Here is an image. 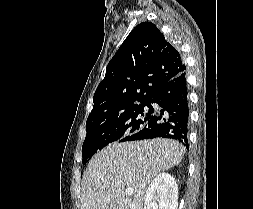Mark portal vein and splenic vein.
Returning a JSON list of instances; mask_svg holds the SVG:
<instances>
[{"label":"portal vein and splenic vein","mask_w":253,"mask_h":209,"mask_svg":"<svg viewBox=\"0 0 253 209\" xmlns=\"http://www.w3.org/2000/svg\"><path fill=\"white\" fill-rule=\"evenodd\" d=\"M125 193H126L127 196H131L133 194V189L132 188H127L125 190Z\"/></svg>","instance_id":"18ae733b"}]
</instances>
